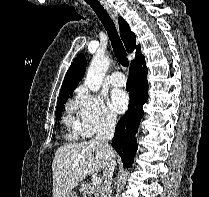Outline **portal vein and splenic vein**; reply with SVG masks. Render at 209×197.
Instances as JSON below:
<instances>
[{
	"mask_svg": "<svg viewBox=\"0 0 209 197\" xmlns=\"http://www.w3.org/2000/svg\"><path fill=\"white\" fill-rule=\"evenodd\" d=\"M101 183H102V180L99 177H95V178L92 179V184L95 185V186L99 185Z\"/></svg>",
	"mask_w": 209,
	"mask_h": 197,
	"instance_id": "18ae733b",
	"label": "portal vein and splenic vein"
}]
</instances>
